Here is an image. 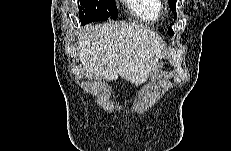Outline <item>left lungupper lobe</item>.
<instances>
[{
	"mask_svg": "<svg viewBox=\"0 0 231 151\" xmlns=\"http://www.w3.org/2000/svg\"><path fill=\"white\" fill-rule=\"evenodd\" d=\"M168 2H169L170 9H171L172 11H174V10L176 11V2H177V0H168ZM175 15H176V14H175ZM168 34L174 35V33H173L171 27H169V29H168Z\"/></svg>",
	"mask_w": 231,
	"mask_h": 151,
	"instance_id": "5c2ea615",
	"label": "left lung upper lobe"
}]
</instances>
